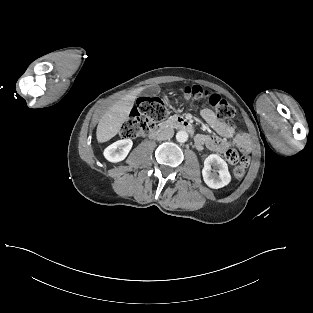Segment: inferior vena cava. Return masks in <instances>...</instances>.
I'll return each instance as SVG.
<instances>
[{
	"mask_svg": "<svg viewBox=\"0 0 313 313\" xmlns=\"http://www.w3.org/2000/svg\"><path fill=\"white\" fill-rule=\"evenodd\" d=\"M174 134V130L171 128L163 130L158 136L157 140L162 141V140H169Z\"/></svg>",
	"mask_w": 313,
	"mask_h": 313,
	"instance_id": "1",
	"label": "inferior vena cava"
}]
</instances>
